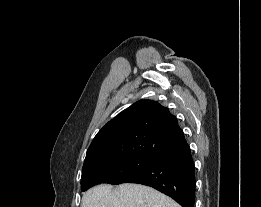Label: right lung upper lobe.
<instances>
[{"mask_svg":"<svg viewBox=\"0 0 261 207\" xmlns=\"http://www.w3.org/2000/svg\"><path fill=\"white\" fill-rule=\"evenodd\" d=\"M188 146L177 118L153 100H139L110 120L89 146L83 166L127 156L160 159Z\"/></svg>","mask_w":261,"mask_h":207,"instance_id":"right-lung-upper-lobe-1","label":"right lung upper lobe"}]
</instances>
